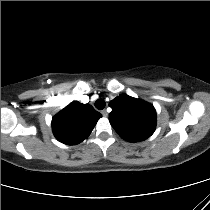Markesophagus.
<instances>
[{
    "label": "esophagus",
    "mask_w": 210,
    "mask_h": 210,
    "mask_svg": "<svg viewBox=\"0 0 210 210\" xmlns=\"http://www.w3.org/2000/svg\"><path fill=\"white\" fill-rule=\"evenodd\" d=\"M101 114L104 116V117H107L108 116V113L107 111L104 109L101 111Z\"/></svg>",
    "instance_id": "obj_1"
}]
</instances>
